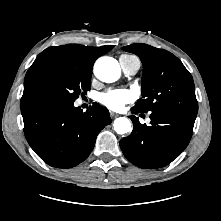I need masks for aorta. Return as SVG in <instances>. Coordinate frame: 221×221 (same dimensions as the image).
Returning <instances> with one entry per match:
<instances>
[{"mask_svg": "<svg viewBox=\"0 0 221 221\" xmlns=\"http://www.w3.org/2000/svg\"><path fill=\"white\" fill-rule=\"evenodd\" d=\"M94 73L99 80L112 83L120 77L121 70L114 58L101 57L95 62ZM113 126L118 134H125L131 131V122L126 117L117 118Z\"/></svg>", "mask_w": 221, "mask_h": 221, "instance_id": "aorta-1", "label": "aorta"}]
</instances>
